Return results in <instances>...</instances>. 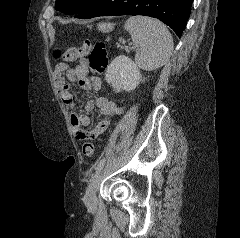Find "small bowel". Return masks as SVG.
<instances>
[{"instance_id": "small-bowel-1", "label": "small bowel", "mask_w": 240, "mask_h": 238, "mask_svg": "<svg viewBox=\"0 0 240 238\" xmlns=\"http://www.w3.org/2000/svg\"><path fill=\"white\" fill-rule=\"evenodd\" d=\"M88 74L89 64L87 59H81L73 68L69 67L66 63H59L55 68L54 79L58 94L63 103L71 110L75 109L76 102L74 96L69 91L66 80L69 82H78L83 90L94 89L98 91L101 89V79L96 76L90 78ZM95 107L99 109L102 119L95 124L89 132L84 129V127L91 125L89 116L86 114H79L75 111L71 112L70 122L76 139H84V135H88L90 138H96L102 135L110 125L112 117L123 113V108L107 97H98L95 100L89 99L84 103V108L87 112L92 111Z\"/></svg>"}]
</instances>
